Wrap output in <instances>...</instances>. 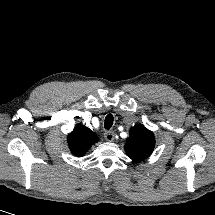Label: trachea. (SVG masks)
<instances>
[{
    "label": "trachea",
    "mask_w": 215,
    "mask_h": 215,
    "mask_svg": "<svg viewBox=\"0 0 215 215\" xmlns=\"http://www.w3.org/2000/svg\"><path fill=\"white\" fill-rule=\"evenodd\" d=\"M113 121V116L111 114H108L105 118V129L109 130L113 125Z\"/></svg>",
    "instance_id": "trachea-1"
}]
</instances>
